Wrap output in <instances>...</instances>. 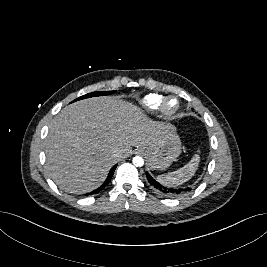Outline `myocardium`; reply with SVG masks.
I'll use <instances>...</instances> for the list:
<instances>
[{
  "label": "myocardium",
  "instance_id": "myocardium-1",
  "mask_svg": "<svg viewBox=\"0 0 267 267\" xmlns=\"http://www.w3.org/2000/svg\"><path fill=\"white\" fill-rule=\"evenodd\" d=\"M171 101H175L176 102V105L174 108L170 109L169 108V103ZM179 107H180V104H179V101L176 97H166L162 100V102L160 103V106H159V111H160V114L164 117V118H172L179 110Z\"/></svg>",
  "mask_w": 267,
  "mask_h": 267
}]
</instances>
